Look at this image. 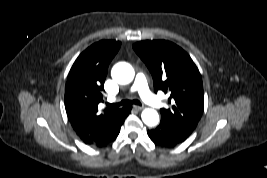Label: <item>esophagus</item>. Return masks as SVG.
<instances>
[{
    "mask_svg": "<svg viewBox=\"0 0 267 178\" xmlns=\"http://www.w3.org/2000/svg\"><path fill=\"white\" fill-rule=\"evenodd\" d=\"M134 109L140 111L144 109V106H134Z\"/></svg>",
    "mask_w": 267,
    "mask_h": 178,
    "instance_id": "obj_1",
    "label": "esophagus"
}]
</instances>
